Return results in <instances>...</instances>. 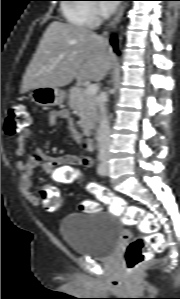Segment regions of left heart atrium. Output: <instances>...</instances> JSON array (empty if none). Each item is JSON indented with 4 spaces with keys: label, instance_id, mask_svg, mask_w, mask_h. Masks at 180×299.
<instances>
[{
    "label": "left heart atrium",
    "instance_id": "1",
    "mask_svg": "<svg viewBox=\"0 0 180 299\" xmlns=\"http://www.w3.org/2000/svg\"><path fill=\"white\" fill-rule=\"evenodd\" d=\"M115 4L113 3H105L102 5V10L106 13L112 12L115 9Z\"/></svg>",
    "mask_w": 180,
    "mask_h": 299
}]
</instances>
